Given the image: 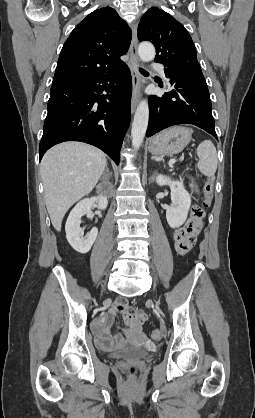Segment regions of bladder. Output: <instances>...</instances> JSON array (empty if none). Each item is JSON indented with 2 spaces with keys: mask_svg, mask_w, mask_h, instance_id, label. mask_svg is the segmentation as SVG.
Masks as SVG:
<instances>
[{
  "mask_svg": "<svg viewBox=\"0 0 255 418\" xmlns=\"http://www.w3.org/2000/svg\"><path fill=\"white\" fill-rule=\"evenodd\" d=\"M150 354L141 349V348H129L125 350H121L115 353H112L110 357L112 359H120V358H147Z\"/></svg>",
  "mask_w": 255,
  "mask_h": 418,
  "instance_id": "bladder-1",
  "label": "bladder"
}]
</instances>
